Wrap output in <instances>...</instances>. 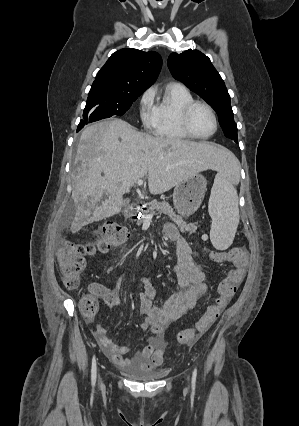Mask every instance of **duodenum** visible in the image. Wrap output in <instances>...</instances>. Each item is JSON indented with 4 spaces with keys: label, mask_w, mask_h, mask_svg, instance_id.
<instances>
[{
    "label": "duodenum",
    "mask_w": 299,
    "mask_h": 426,
    "mask_svg": "<svg viewBox=\"0 0 299 426\" xmlns=\"http://www.w3.org/2000/svg\"><path fill=\"white\" fill-rule=\"evenodd\" d=\"M139 207L137 205L130 206L125 211V217L128 219L134 218L138 213Z\"/></svg>",
    "instance_id": "duodenum-1"
}]
</instances>
